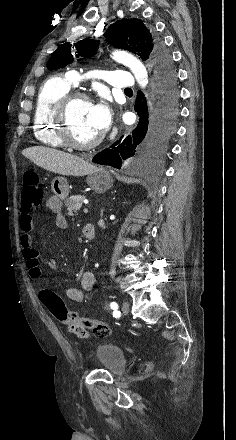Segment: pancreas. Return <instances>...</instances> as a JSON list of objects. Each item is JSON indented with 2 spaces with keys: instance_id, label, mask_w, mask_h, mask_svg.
Here are the masks:
<instances>
[{
  "instance_id": "1",
  "label": "pancreas",
  "mask_w": 236,
  "mask_h": 440,
  "mask_svg": "<svg viewBox=\"0 0 236 440\" xmlns=\"http://www.w3.org/2000/svg\"><path fill=\"white\" fill-rule=\"evenodd\" d=\"M85 199L84 195L71 196L65 200V205L68 210V214L72 215L73 212L80 210L82 203Z\"/></svg>"
}]
</instances>
